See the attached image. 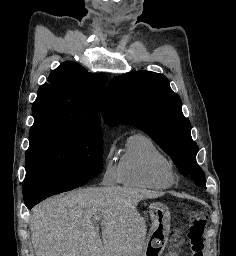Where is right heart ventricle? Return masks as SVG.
Instances as JSON below:
<instances>
[{
	"instance_id": "obj_1",
	"label": "right heart ventricle",
	"mask_w": 236,
	"mask_h": 256,
	"mask_svg": "<svg viewBox=\"0 0 236 256\" xmlns=\"http://www.w3.org/2000/svg\"><path fill=\"white\" fill-rule=\"evenodd\" d=\"M119 173L120 182L128 187L169 189L175 183L171 160L142 133L128 138Z\"/></svg>"
}]
</instances>
